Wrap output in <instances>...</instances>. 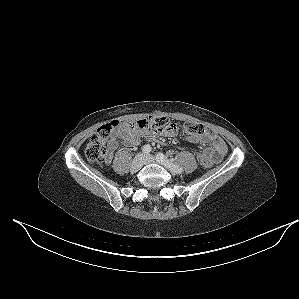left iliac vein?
Returning a JSON list of instances; mask_svg holds the SVG:
<instances>
[{"instance_id":"4c4485c4","label":"left iliac vein","mask_w":299,"mask_h":299,"mask_svg":"<svg viewBox=\"0 0 299 299\" xmlns=\"http://www.w3.org/2000/svg\"><path fill=\"white\" fill-rule=\"evenodd\" d=\"M149 163H159L166 168H168L164 163L159 162L157 159H155L152 155H145L144 156V164H149ZM169 169V168H168ZM170 170V169H169Z\"/></svg>"}]
</instances>
